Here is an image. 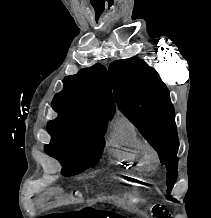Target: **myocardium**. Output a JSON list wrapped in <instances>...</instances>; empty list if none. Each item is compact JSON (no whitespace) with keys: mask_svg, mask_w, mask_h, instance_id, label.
Here are the masks:
<instances>
[{"mask_svg":"<svg viewBox=\"0 0 211 218\" xmlns=\"http://www.w3.org/2000/svg\"><path fill=\"white\" fill-rule=\"evenodd\" d=\"M156 156L157 154L154 148L151 146H147L145 149V154H144L145 160H155Z\"/></svg>","mask_w":211,"mask_h":218,"instance_id":"f54148a6","label":"myocardium"}]
</instances>
